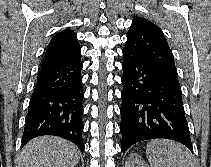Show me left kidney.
Listing matches in <instances>:
<instances>
[{
    "label": "left kidney",
    "instance_id": "left-kidney-1",
    "mask_svg": "<svg viewBox=\"0 0 211 167\" xmlns=\"http://www.w3.org/2000/svg\"><path fill=\"white\" fill-rule=\"evenodd\" d=\"M125 167H149V166L139 155L131 154L125 163Z\"/></svg>",
    "mask_w": 211,
    "mask_h": 167
}]
</instances>
